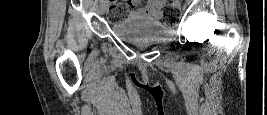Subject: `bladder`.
<instances>
[{
	"label": "bladder",
	"instance_id": "31cf9c89",
	"mask_svg": "<svg viewBox=\"0 0 267 115\" xmlns=\"http://www.w3.org/2000/svg\"><path fill=\"white\" fill-rule=\"evenodd\" d=\"M113 33L127 42H154L166 38L169 31L150 16L131 15L112 26Z\"/></svg>",
	"mask_w": 267,
	"mask_h": 115
}]
</instances>
